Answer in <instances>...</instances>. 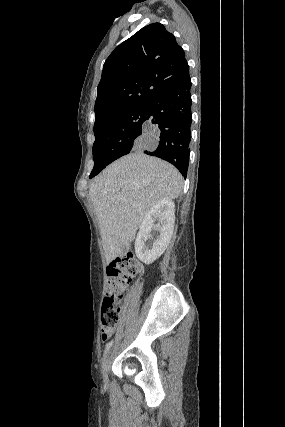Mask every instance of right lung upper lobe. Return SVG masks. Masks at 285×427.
<instances>
[{
	"label": "right lung upper lobe",
	"mask_w": 285,
	"mask_h": 427,
	"mask_svg": "<svg viewBox=\"0 0 285 427\" xmlns=\"http://www.w3.org/2000/svg\"><path fill=\"white\" fill-rule=\"evenodd\" d=\"M189 74L184 50L160 23L143 27L106 59L97 88L95 124L147 104Z\"/></svg>",
	"instance_id": "1"
}]
</instances>
